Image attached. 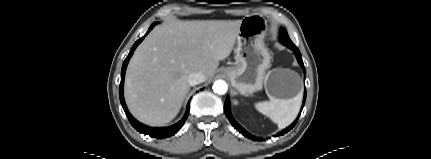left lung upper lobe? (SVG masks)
Returning a JSON list of instances; mask_svg holds the SVG:
<instances>
[{
    "instance_id": "obj_1",
    "label": "left lung upper lobe",
    "mask_w": 431,
    "mask_h": 159,
    "mask_svg": "<svg viewBox=\"0 0 431 159\" xmlns=\"http://www.w3.org/2000/svg\"><path fill=\"white\" fill-rule=\"evenodd\" d=\"M280 40L286 45V46H295L292 41L290 40L286 30H284L282 28L281 30V35H280Z\"/></svg>"
}]
</instances>
